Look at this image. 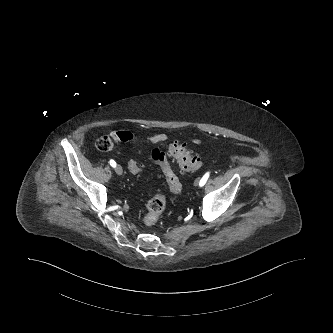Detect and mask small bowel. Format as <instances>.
<instances>
[{
  "mask_svg": "<svg viewBox=\"0 0 333 333\" xmlns=\"http://www.w3.org/2000/svg\"><path fill=\"white\" fill-rule=\"evenodd\" d=\"M117 142H129L136 138V135L130 131L116 130L111 133ZM167 135L165 133L159 132L154 133L146 138V140L152 144H161L167 140ZM190 141L194 144L203 143V139L199 136H192Z\"/></svg>",
  "mask_w": 333,
  "mask_h": 333,
  "instance_id": "1",
  "label": "small bowel"
}]
</instances>
